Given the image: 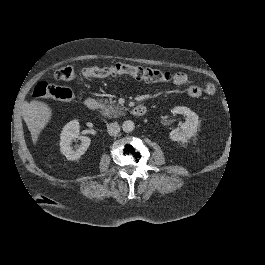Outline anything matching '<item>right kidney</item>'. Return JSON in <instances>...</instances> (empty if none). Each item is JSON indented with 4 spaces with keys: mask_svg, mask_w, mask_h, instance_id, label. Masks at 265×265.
<instances>
[{
    "mask_svg": "<svg viewBox=\"0 0 265 265\" xmlns=\"http://www.w3.org/2000/svg\"><path fill=\"white\" fill-rule=\"evenodd\" d=\"M76 139H79L81 144L74 150L71 144ZM90 142L91 139L89 137L80 134L79 122L71 121L63 129L60 141L61 151L66 155L68 160L74 161L85 154L86 150L89 148Z\"/></svg>",
    "mask_w": 265,
    "mask_h": 265,
    "instance_id": "1",
    "label": "right kidney"
}]
</instances>
